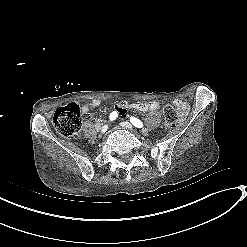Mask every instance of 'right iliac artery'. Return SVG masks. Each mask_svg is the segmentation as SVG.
Returning <instances> with one entry per match:
<instances>
[{"mask_svg":"<svg viewBox=\"0 0 247 247\" xmlns=\"http://www.w3.org/2000/svg\"><path fill=\"white\" fill-rule=\"evenodd\" d=\"M117 117H118V114H117V112H115V111H113V112L110 114V120H111V121H114Z\"/></svg>","mask_w":247,"mask_h":247,"instance_id":"right-iliac-artery-1","label":"right iliac artery"}]
</instances>
